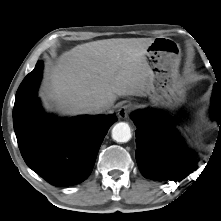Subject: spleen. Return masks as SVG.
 <instances>
[{
    "label": "spleen",
    "instance_id": "1",
    "mask_svg": "<svg viewBox=\"0 0 221 221\" xmlns=\"http://www.w3.org/2000/svg\"><path fill=\"white\" fill-rule=\"evenodd\" d=\"M186 129H187L188 131H190V132L193 131V129H192V128H189V127H187Z\"/></svg>",
    "mask_w": 221,
    "mask_h": 221
}]
</instances>
